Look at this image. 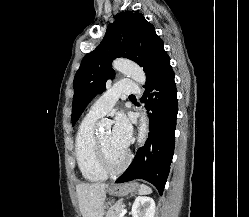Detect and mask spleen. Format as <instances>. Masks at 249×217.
<instances>
[{"instance_id":"spleen-1","label":"spleen","mask_w":249,"mask_h":217,"mask_svg":"<svg viewBox=\"0 0 249 217\" xmlns=\"http://www.w3.org/2000/svg\"><path fill=\"white\" fill-rule=\"evenodd\" d=\"M151 192L152 189L149 186L145 184L140 185L139 194H150Z\"/></svg>"}]
</instances>
